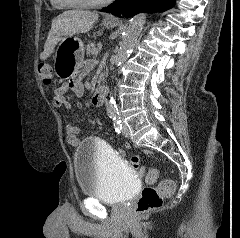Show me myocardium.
Masks as SVG:
<instances>
[{"mask_svg": "<svg viewBox=\"0 0 240 238\" xmlns=\"http://www.w3.org/2000/svg\"><path fill=\"white\" fill-rule=\"evenodd\" d=\"M65 4L70 7H78V8H98L103 7L111 3L113 0H101L97 2H75V1H68L65 0Z\"/></svg>", "mask_w": 240, "mask_h": 238, "instance_id": "obj_1", "label": "myocardium"}]
</instances>
